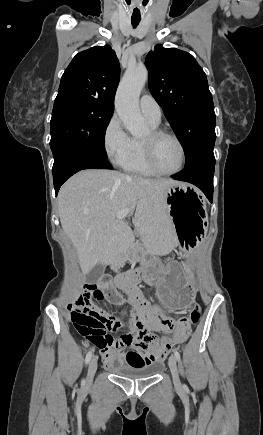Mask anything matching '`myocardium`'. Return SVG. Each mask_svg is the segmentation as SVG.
Instances as JSON below:
<instances>
[{
    "label": "myocardium",
    "instance_id": "f54148a6",
    "mask_svg": "<svg viewBox=\"0 0 263 435\" xmlns=\"http://www.w3.org/2000/svg\"><path fill=\"white\" fill-rule=\"evenodd\" d=\"M149 138L147 139H143V147H144V153H145V158H146V162L148 164V166L150 167V169L158 175H162V176H171V175H175L179 172H181L186 164V159H187V154H186V149L185 146L183 144V142L181 141V139L175 135L172 132H169L167 130L164 129H160V128H153L150 132ZM163 137H168L173 139L179 146L180 150H181V155H182V160H181V164L179 166L178 169L174 170V171H170V172H166L161 170L155 161V157H154V145L155 142Z\"/></svg>",
    "mask_w": 263,
    "mask_h": 435
}]
</instances>
